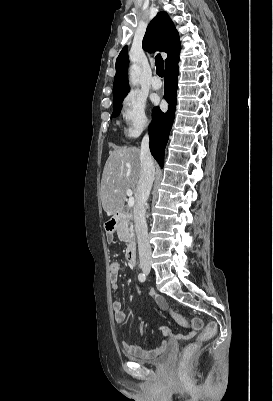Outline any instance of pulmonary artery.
Masks as SVG:
<instances>
[{
  "instance_id": "obj_1",
  "label": "pulmonary artery",
  "mask_w": 273,
  "mask_h": 401,
  "mask_svg": "<svg viewBox=\"0 0 273 401\" xmlns=\"http://www.w3.org/2000/svg\"><path fill=\"white\" fill-rule=\"evenodd\" d=\"M150 86H151L152 89L158 90L160 88V86H161V83H160L159 80H152L151 83H150Z\"/></svg>"
}]
</instances>
